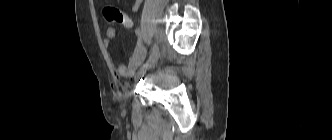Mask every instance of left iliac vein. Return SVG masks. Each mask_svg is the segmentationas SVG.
I'll return each instance as SVG.
<instances>
[{
    "label": "left iliac vein",
    "instance_id": "4c4485c4",
    "mask_svg": "<svg viewBox=\"0 0 332 140\" xmlns=\"http://www.w3.org/2000/svg\"><path fill=\"white\" fill-rule=\"evenodd\" d=\"M159 57H160V52L158 50L156 54L152 57V59L147 63V65L142 67V69L139 72V75L145 73L148 69L152 68L157 63Z\"/></svg>",
    "mask_w": 332,
    "mask_h": 140
}]
</instances>
